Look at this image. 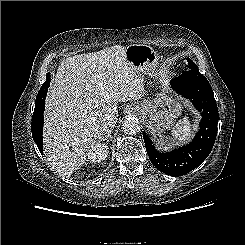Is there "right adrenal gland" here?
<instances>
[{
    "label": "right adrenal gland",
    "mask_w": 245,
    "mask_h": 245,
    "mask_svg": "<svg viewBox=\"0 0 245 245\" xmlns=\"http://www.w3.org/2000/svg\"><path fill=\"white\" fill-rule=\"evenodd\" d=\"M111 132H112V130H109V131H108V134H107V136H106L105 139H104L105 141H106V140L109 141V140L112 138V137H111Z\"/></svg>",
    "instance_id": "1"
}]
</instances>
